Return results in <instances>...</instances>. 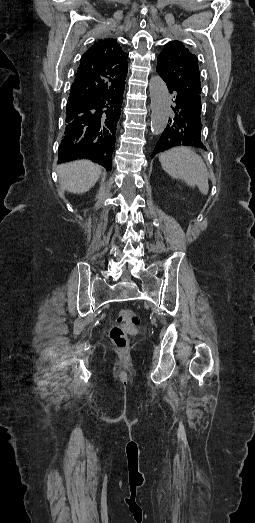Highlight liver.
Masks as SVG:
<instances>
[{"label":"liver","mask_w":255,"mask_h":523,"mask_svg":"<svg viewBox=\"0 0 255 523\" xmlns=\"http://www.w3.org/2000/svg\"><path fill=\"white\" fill-rule=\"evenodd\" d=\"M56 172L63 190L72 194H85L98 182L102 174V166L94 164L91 160H76V162L60 164Z\"/></svg>","instance_id":"liver-1"}]
</instances>
